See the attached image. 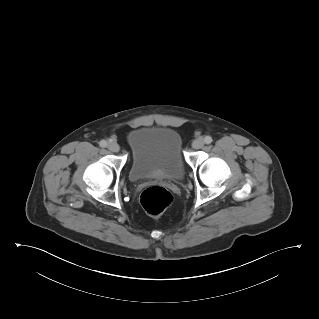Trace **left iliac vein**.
<instances>
[{
  "mask_svg": "<svg viewBox=\"0 0 319 319\" xmlns=\"http://www.w3.org/2000/svg\"><path fill=\"white\" fill-rule=\"evenodd\" d=\"M204 146V140L202 138H197L192 142V147L194 149H200Z\"/></svg>",
  "mask_w": 319,
  "mask_h": 319,
  "instance_id": "obj_1",
  "label": "left iliac vein"
}]
</instances>
